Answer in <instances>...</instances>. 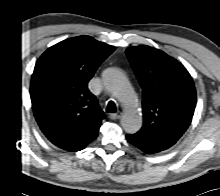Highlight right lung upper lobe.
Returning a JSON list of instances; mask_svg holds the SVG:
<instances>
[{"label":"right lung upper lobe","mask_w":220,"mask_h":196,"mask_svg":"<svg viewBox=\"0 0 220 196\" xmlns=\"http://www.w3.org/2000/svg\"><path fill=\"white\" fill-rule=\"evenodd\" d=\"M114 47L79 36L50 47L37 61L31 84L35 117L57 146L78 151L98 135L104 112L88 81Z\"/></svg>","instance_id":"cb5924a9"}]
</instances>
